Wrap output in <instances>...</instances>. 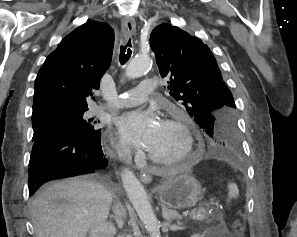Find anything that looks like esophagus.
Returning a JSON list of instances; mask_svg holds the SVG:
<instances>
[{
    "label": "esophagus",
    "instance_id": "obj_1",
    "mask_svg": "<svg viewBox=\"0 0 297 237\" xmlns=\"http://www.w3.org/2000/svg\"><path fill=\"white\" fill-rule=\"evenodd\" d=\"M136 31V23L133 17H126L122 20V32L125 39L130 35L134 34ZM140 179L143 183H150L152 181V176L149 170H144L140 174Z\"/></svg>",
    "mask_w": 297,
    "mask_h": 237
}]
</instances>
